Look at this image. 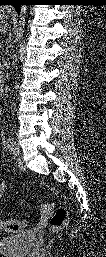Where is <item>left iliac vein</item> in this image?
Masks as SVG:
<instances>
[{"label": "left iliac vein", "mask_w": 106, "mask_h": 257, "mask_svg": "<svg viewBox=\"0 0 106 257\" xmlns=\"http://www.w3.org/2000/svg\"><path fill=\"white\" fill-rule=\"evenodd\" d=\"M12 155L14 156V157H16V156H18L19 155V153H20V148H19V146L16 144V143H14V146H13V148H12Z\"/></svg>", "instance_id": "left-iliac-vein-1"}]
</instances>
